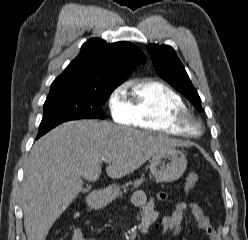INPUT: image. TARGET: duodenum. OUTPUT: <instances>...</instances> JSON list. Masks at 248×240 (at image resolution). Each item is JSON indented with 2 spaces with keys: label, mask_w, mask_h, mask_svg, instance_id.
Wrapping results in <instances>:
<instances>
[{
  "label": "duodenum",
  "mask_w": 248,
  "mask_h": 240,
  "mask_svg": "<svg viewBox=\"0 0 248 240\" xmlns=\"http://www.w3.org/2000/svg\"><path fill=\"white\" fill-rule=\"evenodd\" d=\"M99 195H100L99 193H94V194L92 195V201H91V203H90V206H91L92 208H95V207L98 206Z\"/></svg>",
  "instance_id": "obj_1"
}]
</instances>
